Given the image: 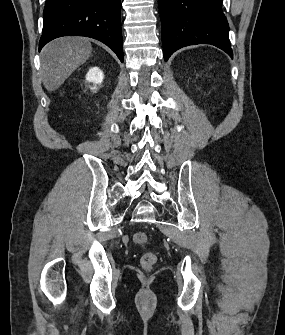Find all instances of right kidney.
<instances>
[{
  "label": "right kidney",
  "mask_w": 285,
  "mask_h": 335,
  "mask_svg": "<svg viewBox=\"0 0 285 335\" xmlns=\"http://www.w3.org/2000/svg\"><path fill=\"white\" fill-rule=\"evenodd\" d=\"M103 78L104 74L99 68H91L86 74V80L93 82V84H102ZM91 90H96V88H91Z\"/></svg>",
  "instance_id": "1"
}]
</instances>
